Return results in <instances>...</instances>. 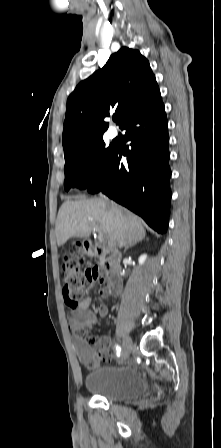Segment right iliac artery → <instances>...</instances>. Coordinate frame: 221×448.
Instances as JSON below:
<instances>
[{
    "mask_svg": "<svg viewBox=\"0 0 221 448\" xmlns=\"http://www.w3.org/2000/svg\"><path fill=\"white\" fill-rule=\"evenodd\" d=\"M115 349H116L117 356H120V353H121V347L118 346V345H116V346H115Z\"/></svg>",
    "mask_w": 221,
    "mask_h": 448,
    "instance_id": "right-iliac-artery-1",
    "label": "right iliac artery"
}]
</instances>
